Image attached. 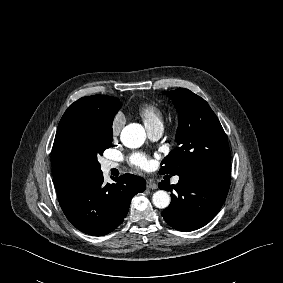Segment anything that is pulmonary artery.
Here are the masks:
<instances>
[{
	"label": "pulmonary artery",
	"mask_w": 283,
	"mask_h": 283,
	"mask_svg": "<svg viewBox=\"0 0 283 283\" xmlns=\"http://www.w3.org/2000/svg\"><path fill=\"white\" fill-rule=\"evenodd\" d=\"M147 131H148V136H149L150 139L158 140L163 133V126H161V125L154 126V127L148 128ZM116 167H118V164L111 162V161H105L103 163V170L104 171H109V170L116 168ZM178 181H179L178 177H174L173 180H172V182L174 184H176Z\"/></svg>",
	"instance_id": "pulmonary-artery-1"
}]
</instances>
